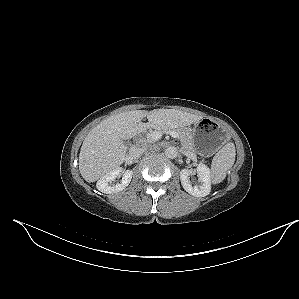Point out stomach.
Listing matches in <instances>:
<instances>
[{"mask_svg":"<svg viewBox=\"0 0 299 299\" xmlns=\"http://www.w3.org/2000/svg\"><path fill=\"white\" fill-rule=\"evenodd\" d=\"M190 132L193 148L202 156L213 155L227 139L223 128L208 118L195 123Z\"/></svg>","mask_w":299,"mask_h":299,"instance_id":"1","label":"stomach"}]
</instances>
